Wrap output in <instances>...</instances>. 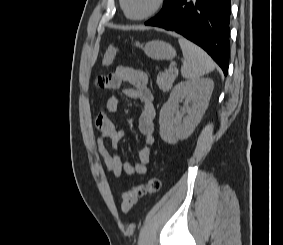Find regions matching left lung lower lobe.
Wrapping results in <instances>:
<instances>
[{"label":"left lung lower lobe","instance_id":"obj_1","mask_svg":"<svg viewBox=\"0 0 283 245\" xmlns=\"http://www.w3.org/2000/svg\"><path fill=\"white\" fill-rule=\"evenodd\" d=\"M230 13V0H173L145 25L183 35L202 47L227 75Z\"/></svg>","mask_w":283,"mask_h":245}]
</instances>
